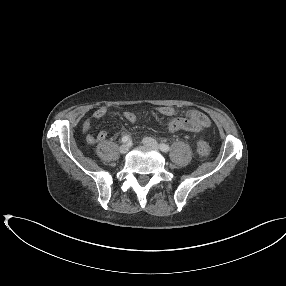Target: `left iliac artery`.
Segmentation results:
<instances>
[{"label":"left iliac artery","mask_w":286,"mask_h":286,"mask_svg":"<svg viewBox=\"0 0 286 286\" xmlns=\"http://www.w3.org/2000/svg\"><path fill=\"white\" fill-rule=\"evenodd\" d=\"M160 149H161V151H163V152H168V151L170 150V147H169V145H167V144L161 143V144H160Z\"/></svg>","instance_id":"left-iliac-artery-1"}]
</instances>
